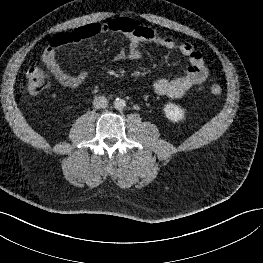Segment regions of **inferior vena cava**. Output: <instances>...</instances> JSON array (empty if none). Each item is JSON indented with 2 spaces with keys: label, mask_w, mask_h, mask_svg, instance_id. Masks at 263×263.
<instances>
[{
  "label": "inferior vena cava",
  "mask_w": 263,
  "mask_h": 263,
  "mask_svg": "<svg viewBox=\"0 0 263 263\" xmlns=\"http://www.w3.org/2000/svg\"><path fill=\"white\" fill-rule=\"evenodd\" d=\"M93 105L96 109L106 108L108 106V100L104 96L95 97Z\"/></svg>",
  "instance_id": "1"
}]
</instances>
